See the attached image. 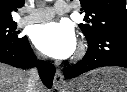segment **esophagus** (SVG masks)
I'll return each instance as SVG.
<instances>
[{"label": "esophagus", "mask_w": 127, "mask_h": 92, "mask_svg": "<svg viewBox=\"0 0 127 92\" xmlns=\"http://www.w3.org/2000/svg\"><path fill=\"white\" fill-rule=\"evenodd\" d=\"M53 85L55 88H63L66 86V82L63 79V74L60 69H57L55 72Z\"/></svg>", "instance_id": "1"}]
</instances>
